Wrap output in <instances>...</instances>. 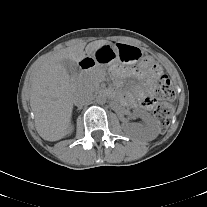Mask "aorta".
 Returning a JSON list of instances; mask_svg holds the SVG:
<instances>
[{
	"label": "aorta",
	"instance_id": "obj_1",
	"mask_svg": "<svg viewBox=\"0 0 207 207\" xmlns=\"http://www.w3.org/2000/svg\"><path fill=\"white\" fill-rule=\"evenodd\" d=\"M96 102L98 104H105L107 102V96L105 93L100 92L97 96H96Z\"/></svg>",
	"mask_w": 207,
	"mask_h": 207
}]
</instances>
